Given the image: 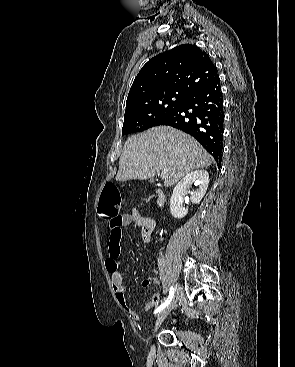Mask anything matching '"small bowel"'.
Returning a JSON list of instances; mask_svg holds the SVG:
<instances>
[{
	"instance_id": "1",
	"label": "small bowel",
	"mask_w": 295,
	"mask_h": 367,
	"mask_svg": "<svg viewBox=\"0 0 295 367\" xmlns=\"http://www.w3.org/2000/svg\"><path fill=\"white\" fill-rule=\"evenodd\" d=\"M127 226H138L141 228V240L148 243L151 240L155 228V221L146 216H142L136 209H131L129 213L122 215L117 221L109 222V254L105 260V267L111 277V283L115 292V297L119 305L133 318H139V314L133 310L127 303L126 289L123 284V275L119 270V257L121 254L120 242L122 237V229ZM152 284H159L156 277L146 278L142 281L143 287ZM160 293H154L145 304L144 311L151 310L160 301Z\"/></svg>"
}]
</instances>
